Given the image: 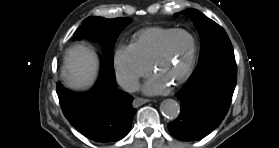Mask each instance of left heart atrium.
<instances>
[{
  "mask_svg": "<svg viewBox=\"0 0 279 148\" xmlns=\"http://www.w3.org/2000/svg\"><path fill=\"white\" fill-rule=\"evenodd\" d=\"M169 88V83L162 80L158 76L154 75L152 78H150L144 85L143 90L147 94H162L166 92Z\"/></svg>",
  "mask_w": 279,
  "mask_h": 148,
  "instance_id": "obj_1",
  "label": "left heart atrium"
}]
</instances>
